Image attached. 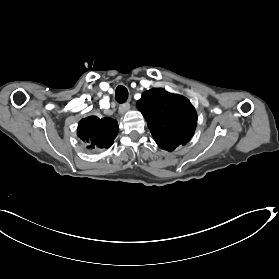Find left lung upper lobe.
<instances>
[{
    "instance_id": "1",
    "label": "left lung upper lobe",
    "mask_w": 279,
    "mask_h": 279,
    "mask_svg": "<svg viewBox=\"0 0 279 279\" xmlns=\"http://www.w3.org/2000/svg\"><path fill=\"white\" fill-rule=\"evenodd\" d=\"M137 108L143 114L157 145L173 151L193 136L197 114L190 102L165 89H151L142 94Z\"/></svg>"
}]
</instances>
